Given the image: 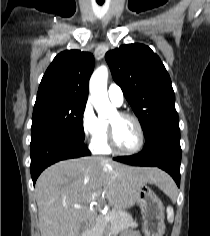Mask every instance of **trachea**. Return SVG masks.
Instances as JSON below:
<instances>
[{"label":"trachea","instance_id":"obj_1","mask_svg":"<svg viewBox=\"0 0 210 236\" xmlns=\"http://www.w3.org/2000/svg\"><path fill=\"white\" fill-rule=\"evenodd\" d=\"M97 3H98L99 5H102V4L104 3V0H97Z\"/></svg>","mask_w":210,"mask_h":236}]
</instances>
